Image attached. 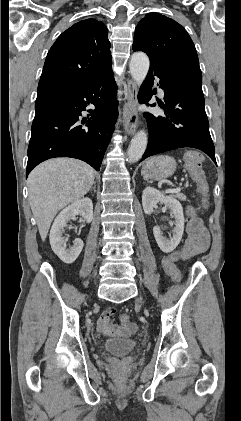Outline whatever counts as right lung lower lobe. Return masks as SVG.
<instances>
[{
  "label": "right lung lower lobe",
  "instance_id": "98d812e1",
  "mask_svg": "<svg viewBox=\"0 0 241 421\" xmlns=\"http://www.w3.org/2000/svg\"><path fill=\"white\" fill-rule=\"evenodd\" d=\"M115 96L112 68L90 82L39 94L26 177L39 163L55 157L77 158L99 170L118 113ZM89 104L96 109L88 110V118L81 120V112ZM80 123H86V126Z\"/></svg>",
  "mask_w": 241,
  "mask_h": 421
}]
</instances>
